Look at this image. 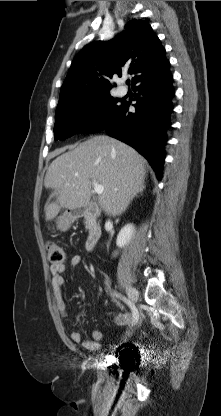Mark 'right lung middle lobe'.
<instances>
[{
	"instance_id": "dd1d6c3e",
	"label": "right lung middle lobe",
	"mask_w": 221,
	"mask_h": 416,
	"mask_svg": "<svg viewBox=\"0 0 221 416\" xmlns=\"http://www.w3.org/2000/svg\"><path fill=\"white\" fill-rule=\"evenodd\" d=\"M120 102L110 92H104L58 104L54 126L55 140H64L77 133L99 131L118 110Z\"/></svg>"
}]
</instances>
